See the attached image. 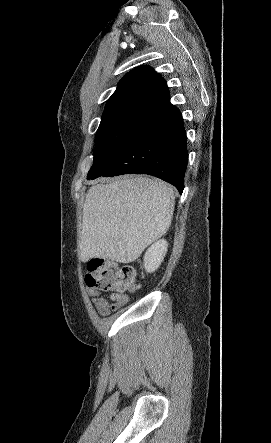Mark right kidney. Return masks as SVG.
Instances as JSON below:
<instances>
[{
	"instance_id": "ca27d5eb",
	"label": "right kidney",
	"mask_w": 271,
	"mask_h": 443,
	"mask_svg": "<svg viewBox=\"0 0 271 443\" xmlns=\"http://www.w3.org/2000/svg\"><path fill=\"white\" fill-rule=\"evenodd\" d=\"M167 241L165 239H158L155 243H152L145 251L144 255V267L146 271H155L159 267L161 261H163L167 251Z\"/></svg>"
}]
</instances>
